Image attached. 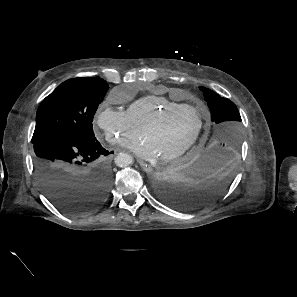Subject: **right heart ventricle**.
Listing matches in <instances>:
<instances>
[{
  "label": "right heart ventricle",
  "mask_w": 297,
  "mask_h": 297,
  "mask_svg": "<svg viewBox=\"0 0 297 297\" xmlns=\"http://www.w3.org/2000/svg\"><path fill=\"white\" fill-rule=\"evenodd\" d=\"M180 104L183 103L172 101L162 95L151 94L130 103L126 113L134 125L141 129L158 111Z\"/></svg>",
  "instance_id": "obj_1"
}]
</instances>
